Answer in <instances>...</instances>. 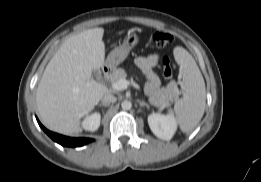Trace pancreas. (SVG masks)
<instances>
[{"instance_id":"1","label":"pancreas","mask_w":261,"mask_h":182,"mask_svg":"<svg viewBox=\"0 0 261 182\" xmlns=\"http://www.w3.org/2000/svg\"><path fill=\"white\" fill-rule=\"evenodd\" d=\"M127 74L124 69L118 68L110 75V81L112 83L117 82L120 79H126ZM177 93L171 88L161 89L155 96L149 98V102L156 106H167L169 101L176 100Z\"/></svg>"}]
</instances>
